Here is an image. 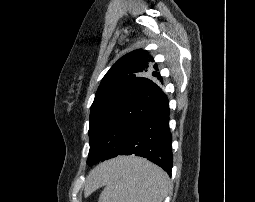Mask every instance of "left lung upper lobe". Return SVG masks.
I'll list each match as a JSON object with an SVG mask.
<instances>
[{
  "label": "left lung upper lobe",
  "instance_id": "obj_1",
  "mask_svg": "<svg viewBox=\"0 0 255 202\" xmlns=\"http://www.w3.org/2000/svg\"><path fill=\"white\" fill-rule=\"evenodd\" d=\"M148 51L121 57L106 73L90 111L87 163L116 157L141 122L167 99Z\"/></svg>",
  "mask_w": 255,
  "mask_h": 202
}]
</instances>
